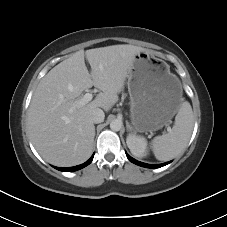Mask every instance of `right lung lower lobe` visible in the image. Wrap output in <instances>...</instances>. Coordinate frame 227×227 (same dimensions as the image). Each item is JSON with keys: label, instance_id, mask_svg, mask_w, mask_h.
Segmentation results:
<instances>
[{"label": "right lung lower lobe", "instance_id": "right-lung-lower-lobe-1", "mask_svg": "<svg viewBox=\"0 0 227 227\" xmlns=\"http://www.w3.org/2000/svg\"><path fill=\"white\" fill-rule=\"evenodd\" d=\"M93 157H94V155H92V157L88 161H86L85 163L78 165V166H74V167H54V168H56L57 170H60V171H65V172L77 171V170L82 169V168L86 167L87 165H89L92 162Z\"/></svg>", "mask_w": 227, "mask_h": 227}]
</instances>
